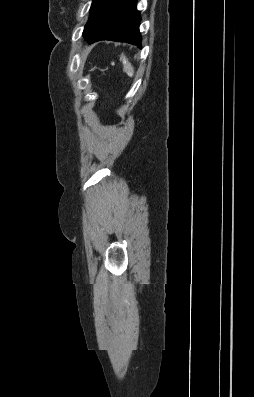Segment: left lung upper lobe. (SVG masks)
I'll return each instance as SVG.
<instances>
[{
    "mask_svg": "<svg viewBox=\"0 0 254 397\" xmlns=\"http://www.w3.org/2000/svg\"><path fill=\"white\" fill-rule=\"evenodd\" d=\"M109 0H93L90 8V17L85 25L83 37H89L99 25Z\"/></svg>",
    "mask_w": 254,
    "mask_h": 397,
    "instance_id": "obj_1",
    "label": "left lung upper lobe"
}]
</instances>
